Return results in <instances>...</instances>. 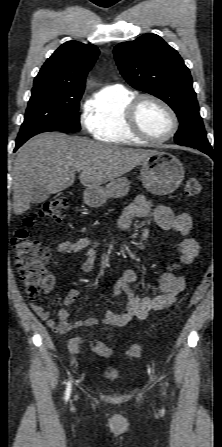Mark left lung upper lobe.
<instances>
[{"label":"left lung upper lobe","instance_id":"obj_1","mask_svg":"<svg viewBox=\"0 0 222 447\" xmlns=\"http://www.w3.org/2000/svg\"><path fill=\"white\" fill-rule=\"evenodd\" d=\"M118 68L135 89L166 102L177 114L179 145L211 147L199 114L189 69L175 49L156 34H144L114 48Z\"/></svg>","mask_w":222,"mask_h":447}]
</instances>
